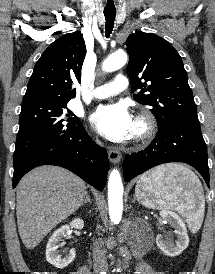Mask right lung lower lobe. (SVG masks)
<instances>
[{"label":"right lung lower lobe","mask_w":215,"mask_h":274,"mask_svg":"<svg viewBox=\"0 0 215 274\" xmlns=\"http://www.w3.org/2000/svg\"><path fill=\"white\" fill-rule=\"evenodd\" d=\"M45 164L64 167L98 190H103L109 170L106 150L87 135L82 125L41 144L15 162L13 187L31 169Z\"/></svg>","instance_id":"right-lung-lower-lobe-1"}]
</instances>
